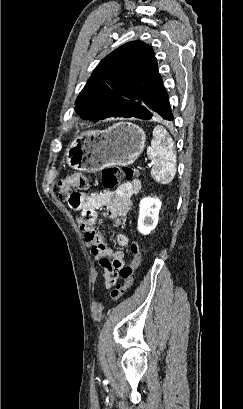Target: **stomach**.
<instances>
[{
	"label": "stomach",
	"instance_id": "stomach-1",
	"mask_svg": "<svg viewBox=\"0 0 243 409\" xmlns=\"http://www.w3.org/2000/svg\"><path fill=\"white\" fill-rule=\"evenodd\" d=\"M145 132L133 123H115L107 130L87 131L67 148V164L75 170L97 172L107 166L130 165L145 147Z\"/></svg>",
	"mask_w": 243,
	"mask_h": 409
}]
</instances>
